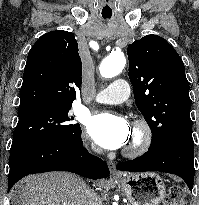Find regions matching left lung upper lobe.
Instances as JSON below:
<instances>
[{
	"mask_svg": "<svg viewBox=\"0 0 199 205\" xmlns=\"http://www.w3.org/2000/svg\"><path fill=\"white\" fill-rule=\"evenodd\" d=\"M129 78L136 105L152 131L151 148L175 136H192L189 83L175 49L158 35L130 44Z\"/></svg>",
	"mask_w": 199,
	"mask_h": 205,
	"instance_id": "1",
	"label": "left lung upper lobe"
}]
</instances>
